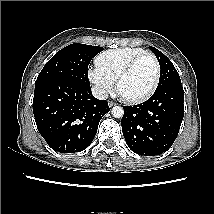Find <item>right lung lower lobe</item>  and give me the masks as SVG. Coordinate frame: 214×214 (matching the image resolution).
Listing matches in <instances>:
<instances>
[{
	"instance_id": "98d812e1",
	"label": "right lung lower lobe",
	"mask_w": 214,
	"mask_h": 214,
	"mask_svg": "<svg viewBox=\"0 0 214 214\" xmlns=\"http://www.w3.org/2000/svg\"><path fill=\"white\" fill-rule=\"evenodd\" d=\"M96 99L90 85L49 80L35 86L33 113L37 128L55 151L75 153L93 141L100 119L109 111Z\"/></svg>"
}]
</instances>
